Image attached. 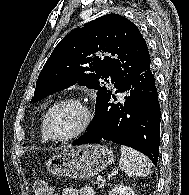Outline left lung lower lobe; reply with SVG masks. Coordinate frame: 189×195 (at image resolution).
Here are the masks:
<instances>
[{"mask_svg": "<svg viewBox=\"0 0 189 195\" xmlns=\"http://www.w3.org/2000/svg\"><path fill=\"white\" fill-rule=\"evenodd\" d=\"M117 92H127L123 103L111 98L96 112L87 133L73 145L108 140L136 149L157 165L160 142V105L151 65L122 83Z\"/></svg>", "mask_w": 189, "mask_h": 195, "instance_id": "1", "label": "left lung lower lobe"}]
</instances>
